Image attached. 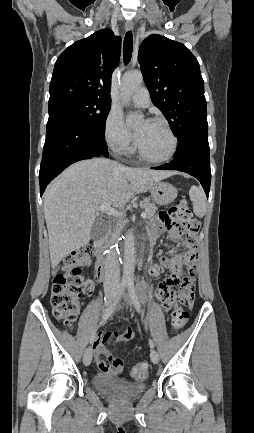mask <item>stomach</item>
Segmentation results:
<instances>
[{"instance_id":"1","label":"stomach","mask_w":254,"mask_h":433,"mask_svg":"<svg viewBox=\"0 0 254 433\" xmlns=\"http://www.w3.org/2000/svg\"><path fill=\"white\" fill-rule=\"evenodd\" d=\"M152 199L159 205H168L177 197V189L166 182H154L149 187Z\"/></svg>"}]
</instances>
